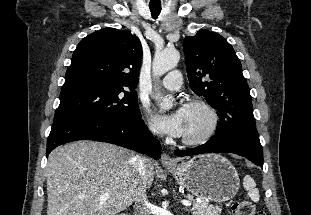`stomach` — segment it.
<instances>
[{"instance_id": "stomach-1", "label": "stomach", "mask_w": 311, "mask_h": 215, "mask_svg": "<svg viewBox=\"0 0 311 215\" xmlns=\"http://www.w3.org/2000/svg\"><path fill=\"white\" fill-rule=\"evenodd\" d=\"M176 182L192 195L212 202L231 200L239 190V176L232 163L218 154H206L167 168Z\"/></svg>"}]
</instances>
